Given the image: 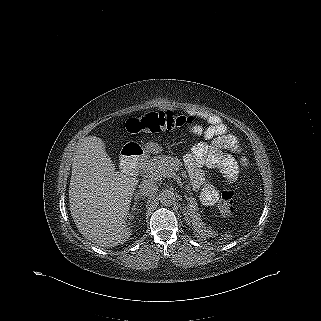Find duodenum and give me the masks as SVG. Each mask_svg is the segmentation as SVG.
<instances>
[{
    "label": "duodenum",
    "instance_id": "duodenum-1",
    "mask_svg": "<svg viewBox=\"0 0 321 321\" xmlns=\"http://www.w3.org/2000/svg\"><path fill=\"white\" fill-rule=\"evenodd\" d=\"M134 158V156L127 155L122 156V169H127L129 162Z\"/></svg>",
    "mask_w": 321,
    "mask_h": 321
}]
</instances>
